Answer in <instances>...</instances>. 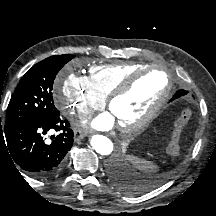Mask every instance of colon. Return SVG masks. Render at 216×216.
Instances as JSON below:
<instances>
[{
	"label": "colon",
	"mask_w": 216,
	"mask_h": 216,
	"mask_svg": "<svg viewBox=\"0 0 216 216\" xmlns=\"http://www.w3.org/2000/svg\"><path fill=\"white\" fill-rule=\"evenodd\" d=\"M191 117V110L184 108L174 122L172 129L171 140L167 148L168 154L175 156L179 154L181 148L182 131Z\"/></svg>",
	"instance_id": "5ec220e1"
}]
</instances>
